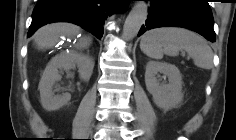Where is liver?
<instances>
[{
    "instance_id": "liver-1",
    "label": "liver",
    "mask_w": 236,
    "mask_h": 140,
    "mask_svg": "<svg viewBox=\"0 0 236 140\" xmlns=\"http://www.w3.org/2000/svg\"><path fill=\"white\" fill-rule=\"evenodd\" d=\"M81 32V28L70 23H53L40 28L34 35V41L38 49L52 48L61 36L75 37ZM90 37H82L79 41V48H86L91 44Z\"/></svg>"
}]
</instances>
